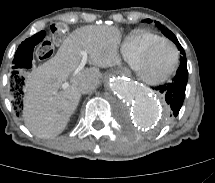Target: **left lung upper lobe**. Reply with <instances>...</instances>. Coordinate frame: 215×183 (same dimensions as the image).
<instances>
[{
  "label": "left lung upper lobe",
  "instance_id": "5c2ea615",
  "mask_svg": "<svg viewBox=\"0 0 215 183\" xmlns=\"http://www.w3.org/2000/svg\"><path fill=\"white\" fill-rule=\"evenodd\" d=\"M146 22L149 23V22H151V20L147 19ZM155 23H156L157 27L161 30V32L177 45L178 49L180 50V53L182 54L180 60L185 59L186 57H185L184 49L178 42L176 36L169 29H167L163 25H161L159 22H155Z\"/></svg>",
  "mask_w": 215,
  "mask_h": 183
}]
</instances>
